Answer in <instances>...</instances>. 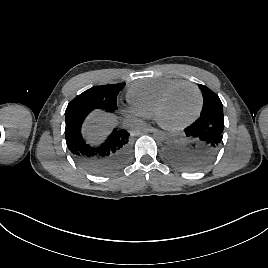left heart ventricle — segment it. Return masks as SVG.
Here are the masks:
<instances>
[{"label":"left heart ventricle","mask_w":268,"mask_h":268,"mask_svg":"<svg viewBox=\"0 0 268 268\" xmlns=\"http://www.w3.org/2000/svg\"><path fill=\"white\" fill-rule=\"evenodd\" d=\"M198 106V96L191 87L177 90L163 106L160 117L170 125L180 124L193 116Z\"/></svg>","instance_id":"obj_1"}]
</instances>
